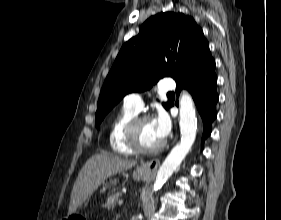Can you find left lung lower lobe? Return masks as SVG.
I'll return each instance as SVG.
<instances>
[{
	"mask_svg": "<svg viewBox=\"0 0 281 220\" xmlns=\"http://www.w3.org/2000/svg\"><path fill=\"white\" fill-rule=\"evenodd\" d=\"M176 84L178 95L183 87L187 88L195 101L203 121L201 144L203 147L204 140L211 133L212 122L217 116L216 104L218 102L215 61L209 49L190 62L186 72L176 81Z\"/></svg>",
	"mask_w": 281,
	"mask_h": 220,
	"instance_id": "obj_1",
	"label": "left lung lower lobe"
}]
</instances>
